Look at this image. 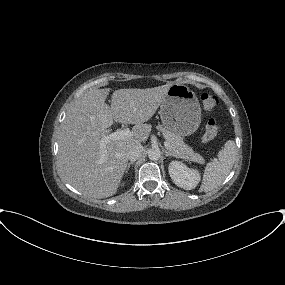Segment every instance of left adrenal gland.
<instances>
[{"label": "left adrenal gland", "mask_w": 285, "mask_h": 285, "mask_svg": "<svg viewBox=\"0 0 285 285\" xmlns=\"http://www.w3.org/2000/svg\"><path fill=\"white\" fill-rule=\"evenodd\" d=\"M165 155H166V157H168V156H174L171 152H169L168 150H165Z\"/></svg>", "instance_id": "left-adrenal-gland-1"}]
</instances>
